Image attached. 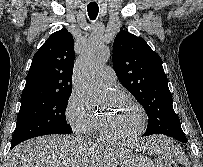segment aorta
Instances as JSON below:
<instances>
[{
	"label": "aorta",
	"mask_w": 203,
	"mask_h": 167,
	"mask_svg": "<svg viewBox=\"0 0 203 167\" xmlns=\"http://www.w3.org/2000/svg\"><path fill=\"white\" fill-rule=\"evenodd\" d=\"M109 57L110 49L106 45L91 41L76 61L73 87L88 106H95L102 98L101 91L94 83V74Z\"/></svg>",
	"instance_id": "aorta-1"
}]
</instances>
